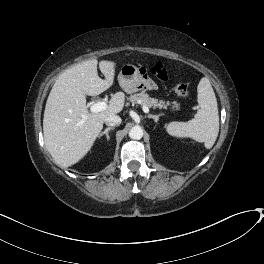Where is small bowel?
<instances>
[{
  "instance_id": "obj_1",
  "label": "small bowel",
  "mask_w": 264,
  "mask_h": 264,
  "mask_svg": "<svg viewBox=\"0 0 264 264\" xmlns=\"http://www.w3.org/2000/svg\"><path fill=\"white\" fill-rule=\"evenodd\" d=\"M149 89H154V86H153V85H150V86H149Z\"/></svg>"
}]
</instances>
